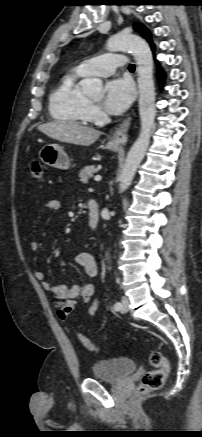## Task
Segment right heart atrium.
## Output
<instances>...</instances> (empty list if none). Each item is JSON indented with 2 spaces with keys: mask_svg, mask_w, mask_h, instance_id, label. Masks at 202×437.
I'll use <instances>...</instances> for the list:
<instances>
[{
  "mask_svg": "<svg viewBox=\"0 0 202 437\" xmlns=\"http://www.w3.org/2000/svg\"><path fill=\"white\" fill-rule=\"evenodd\" d=\"M90 113H91V116H92V115H93V116H98V115L100 114V111H99L98 107H96V106H91V108H90Z\"/></svg>",
  "mask_w": 202,
  "mask_h": 437,
  "instance_id": "1",
  "label": "right heart atrium"
}]
</instances>
